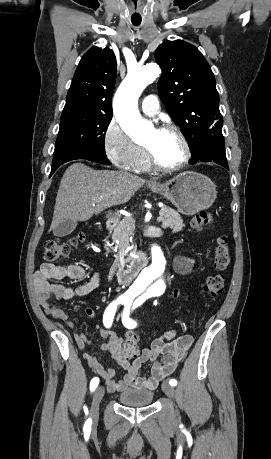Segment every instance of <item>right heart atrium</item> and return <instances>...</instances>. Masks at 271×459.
<instances>
[{
  "label": "right heart atrium",
  "mask_w": 271,
  "mask_h": 459,
  "mask_svg": "<svg viewBox=\"0 0 271 459\" xmlns=\"http://www.w3.org/2000/svg\"><path fill=\"white\" fill-rule=\"evenodd\" d=\"M102 143L107 158L119 168H130L131 163L141 155L143 149L128 137L126 131L115 120L107 124Z\"/></svg>",
  "instance_id": "right-heart-atrium-1"
}]
</instances>
